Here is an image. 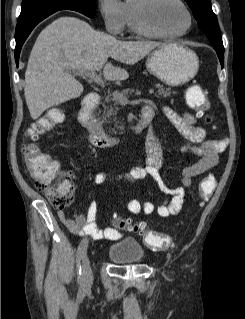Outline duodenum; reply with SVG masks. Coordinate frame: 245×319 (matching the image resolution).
I'll return each instance as SVG.
<instances>
[{"mask_svg":"<svg viewBox=\"0 0 245 319\" xmlns=\"http://www.w3.org/2000/svg\"><path fill=\"white\" fill-rule=\"evenodd\" d=\"M100 96L96 92L87 94L81 103L78 119L83 127L89 131L90 143L99 148H107L112 146L116 142V138L107 135L96 118L94 117L93 111L98 106ZM151 116L143 114L139 122L134 126L136 133L142 132L150 123Z\"/></svg>","mask_w":245,"mask_h":319,"instance_id":"duodenum-1","label":"duodenum"}]
</instances>
